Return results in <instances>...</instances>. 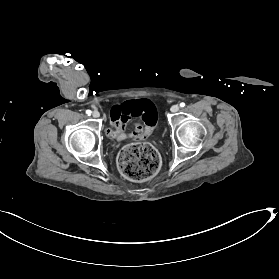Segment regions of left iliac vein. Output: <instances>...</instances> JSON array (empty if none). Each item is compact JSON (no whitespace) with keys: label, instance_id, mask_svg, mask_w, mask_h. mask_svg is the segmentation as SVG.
Segmentation results:
<instances>
[{"label":"left iliac vein","instance_id":"4c4485c4","mask_svg":"<svg viewBox=\"0 0 279 279\" xmlns=\"http://www.w3.org/2000/svg\"><path fill=\"white\" fill-rule=\"evenodd\" d=\"M178 111H179V106H178V105H173V106L171 107V112L176 113V112H178Z\"/></svg>","mask_w":279,"mask_h":279}]
</instances>
